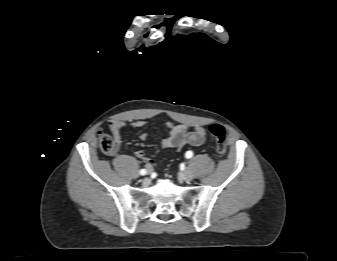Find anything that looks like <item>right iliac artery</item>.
<instances>
[{"instance_id": "right-iliac-artery-1", "label": "right iliac artery", "mask_w": 337, "mask_h": 261, "mask_svg": "<svg viewBox=\"0 0 337 261\" xmlns=\"http://www.w3.org/2000/svg\"><path fill=\"white\" fill-rule=\"evenodd\" d=\"M146 173H147V171H146L145 169H141V170H140V174H141V175H145Z\"/></svg>"}]
</instances>
